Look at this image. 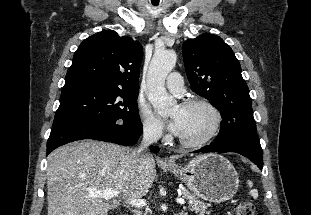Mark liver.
I'll use <instances>...</instances> for the list:
<instances>
[{"label": "liver", "instance_id": "liver-1", "mask_svg": "<svg viewBox=\"0 0 311 215\" xmlns=\"http://www.w3.org/2000/svg\"><path fill=\"white\" fill-rule=\"evenodd\" d=\"M133 150L115 144L77 141L54 150L47 158V215H108L124 200L145 196L156 176L155 160L133 157ZM117 190L111 201L91 192Z\"/></svg>", "mask_w": 311, "mask_h": 215}]
</instances>
